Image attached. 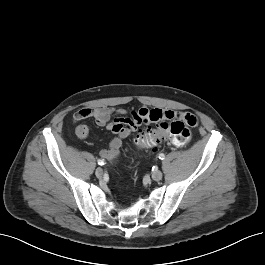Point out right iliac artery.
<instances>
[{
  "label": "right iliac artery",
  "instance_id": "82829eb1",
  "mask_svg": "<svg viewBox=\"0 0 265 265\" xmlns=\"http://www.w3.org/2000/svg\"><path fill=\"white\" fill-rule=\"evenodd\" d=\"M97 162H98L99 165H104L105 164V161L101 160V159H98Z\"/></svg>",
  "mask_w": 265,
  "mask_h": 265
}]
</instances>
